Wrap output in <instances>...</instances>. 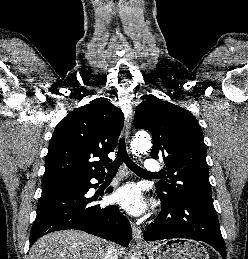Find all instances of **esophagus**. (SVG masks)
I'll list each match as a JSON object with an SVG mask.
<instances>
[{
	"label": "esophagus",
	"mask_w": 248,
	"mask_h": 259,
	"mask_svg": "<svg viewBox=\"0 0 248 259\" xmlns=\"http://www.w3.org/2000/svg\"><path fill=\"white\" fill-rule=\"evenodd\" d=\"M125 113H126V115H125L126 116L125 137L128 140V138L130 137L132 122H133V118H134V112H133L131 105L126 106ZM124 168H125V166H124ZM131 227H132V234H133L134 240H136L137 242H142L143 238H142V231H141L140 227L136 226L134 223L131 224Z\"/></svg>",
	"instance_id": "34e87169"
}]
</instances>
